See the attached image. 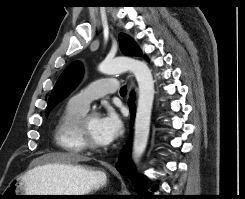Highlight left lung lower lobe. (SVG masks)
<instances>
[{
	"label": "left lung lower lobe",
	"mask_w": 245,
	"mask_h": 199,
	"mask_svg": "<svg viewBox=\"0 0 245 199\" xmlns=\"http://www.w3.org/2000/svg\"><path fill=\"white\" fill-rule=\"evenodd\" d=\"M129 106H130V114H131V121L133 122L134 117H135V104L133 100H129ZM117 170L125 176H129L132 178L134 182H137V180L134 178V172H133V167L132 163L130 161V146L129 144L124 148L122 153L119 156V160L116 164ZM143 185L144 182L143 180L139 181V187H138V192L143 191Z\"/></svg>",
	"instance_id": "left-lung-lower-lobe-1"
}]
</instances>
